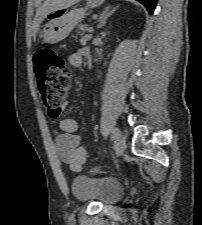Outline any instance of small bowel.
<instances>
[{
	"instance_id": "small-bowel-1",
	"label": "small bowel",
	"mask_w": 202,
	"mask_h": 225,
	"mask_svg": "<svg viewBox=\"0 0 202 225\" xmlns=\"http://www.w3.org/2000/svg\"><path fill=\"white\" fill-rule=\"evenodd\" d=\"M89 48H81L78 52L68 57V63L72 67H80ZM67 103L61 106L62 115L66 111ZM62 134L56 138V155L59 160L69 165L74 171L82 170L86 161V148L82 144V137L78 134V122L74 118H63L60 120Z\"/></svg>"
}]
</instances>
